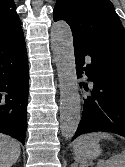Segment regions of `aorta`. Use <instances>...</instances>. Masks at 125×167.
<instances>
[{"label": "aorta", "instance_id": "obj_1", "mask_svg": "<svg viewBox=\"0 0 125 167\" xmlns=\"http://www.w3.org/2000/svg\"><path fill=\"white\" fill-rule=\"evenodd\" d=\"M51 48L60 88V128L64 138L74 136L81 118L73 36L69 25L58 21L51 28Z\"/></svg>", "mask_w": 125, "mask_h": 167}]
</instances>
